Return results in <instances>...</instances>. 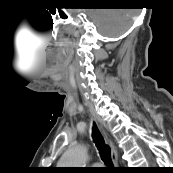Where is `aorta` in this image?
I'll list each match as a JSON object with an SVG mask.
<instances>
[{"instance_id": "1", "label": "aorta", "mask_w": 173, "mask_h": 173, "mask_svg": "<svg viewBox=\"0 0 173 173\" xmlns=\"http://www.w3.org/2000/svg\"><path fill=\"white\" fill-rule=\"evenodd\" d=\"M87 157L86 149L82 145H78L69 149L62 157L60 164L65 167H82Z\"/></svg>"}]
</instances>
